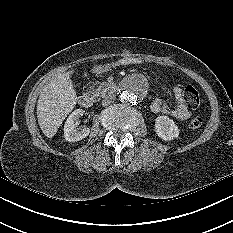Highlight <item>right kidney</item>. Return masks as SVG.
I'll return each instance as SVG.
<instances>
[{
    "instance_id": "right-kidney-1",
    "label": "right kidney",
    "mask_w": 233,
    "mask_h": 233,
    "mask_svg": "<svg viewBox=\"0 0 233 233\" xmlns=\"http://www.w3.org/2000/svg\"><path fill=\"white\" fill-rule=\"evenodd\" d=\"M83 114L84 111L82 109H77L74 110L67 118L64 125V138L66 141L77 142L89 135V128H76L78 120L81 116H83Z\"/></svg>"
}]
</instances>
